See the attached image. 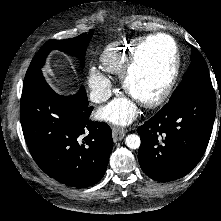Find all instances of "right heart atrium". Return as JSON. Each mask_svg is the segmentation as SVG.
<instances>
[{
    "label": "right heart atrium",
    "mask_w": 221,
    "mask_h": 221,
    "mask_svg": "<svg viewBox=\"0 0 221 221\" xmlns=\"http://www.w3.org/2000/svg\"><path fill=\"white\" fill-rule=\"evenodd\" d=\"M107 76L100 70L92 67L89 71V83L93 90L107 83ZM105 96V90L95 95L97 100H101Z\"/></svg>",
    "instance_id": "obj_1"
}]
</instances>
